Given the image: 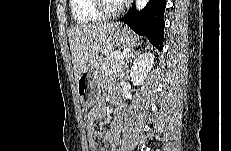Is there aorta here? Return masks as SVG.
<instances>
[{"mask_svg":"<svg viewBox=\"0 0 231 151\" xmlns=\"http://www.w3.org/2000/svg\"><path fill=\"white\" fill-rule=\"evenodd\" d=\"M148 0H136V8L137 10H142L148 3Z\"/></svg>","mask_w":231,"mask_h":151,"instance_id":"aorta-1","label":"aorta"}]
</instances>
